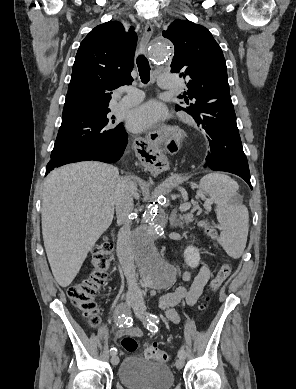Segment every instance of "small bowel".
Returning a JSON list of instances; mask_svg holds the SVG:
<instances>
[{"label": "small bowel", "mask_w": 296, "mask_h": 389, "mask_svg": "<svg viewBox=\"0 0 296 389\" xmlns=\"http://www.w3.org/2000/svg\"><path fill=\"white\" fill-rule=\"evenodd\" d=\"M209 279L210 270L207 265L201 266L194 278L191 277L188 269L184 268L183 280L189 282V286H179L173 292L164 295L160 300V307L165 311L167 318L171 322L178 323L180 321V317L174 310V307L183 301L189 306H193L202 294ZM125 334L139 337L141 336V331L136 327H125L117 332V337L119 338Z\"/></svg>", "instance_id": "small-bowel-1"}]
</instances>
